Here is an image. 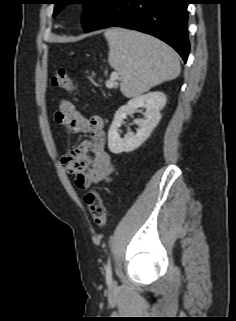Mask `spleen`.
<instances>
[{
	"mask_svg": "<svg viewBox=\"0 0 236 321\" xmlns=\"http://www.w3.org/2000/svg\"><path fill=\"white\" fill-rule=\"evenodd\" d=\"M109 64L121 76L125 97H137L180 74L176 52L162 41L136 31L112 28L104 33Z\"/></svg>",
	"mask_w": 236,
	"mask_h": 321,
	"instance_id": "3e777b00",
	"label": "spleen"
}]
</instances>
